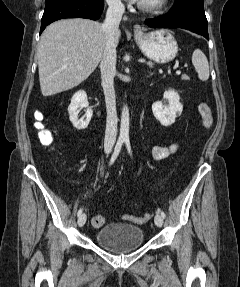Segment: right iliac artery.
Here are the masks:
<instances>
[{"mask_svg":"<svg viewBox=\"0 0 240 287\" xmlns=\"http://www.w3.org/2000/svg\"><path fill=\"white\" fill-rule=\"evenodd\" d=\"M123 142H124V141L121 140V139H119V140L117 141L116 146H115V149H114V152H113V155H112V157H111V159H110L109 165H112V164L114 163L115 159L117 158V156L119 155L120 150H121V147H122V145H123ZM82 212H83V209L80 208V209L78 210L77 216L79 217V216L82 214Z\"/></svg>","mask_w":240,"mask_h":287,"instance_id":"82829eb1","label":"right iliac artery"}]
</instances>
